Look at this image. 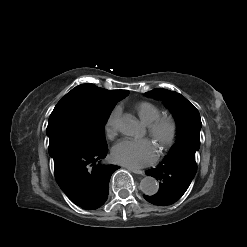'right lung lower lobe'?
Wrapping results in <instances>:
<instances>
[{"instance_id":"98d812e1","label":"right lung lower lobe","mask_w":247,"mask_h":247,"mask_svg":"<svg viewBox=\"0 0 247 247\" xmlns=\"http://www.w3.org/2000/svg\"><path fill=\"white\" fill-rule=\"evenodd\" d=\"M55 178L67 197L86 210L99 208L108 197L109 180L116 165H103L108 148H90L65 137L49 138Z\"/></svg>"}]
</instances>
